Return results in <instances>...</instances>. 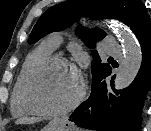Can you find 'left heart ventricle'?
<instances>
[{"label":"left heart ventricle","instance_id":"left-heart-ventricle-1","mask_svg":"<svg viewBox=\"0 0 151 131\" xmlns=\"http://www.w3.org/2000/svg\"><path fill=\"white\" fill-rule=\"evenodd\" d=\"M77 88L75 73L65 65L54 64L34 75L30 95L36 106L54 110L66 105L74 97Z\"/></svg>","mask_w":151,"mask_h":131}]
</instances>
